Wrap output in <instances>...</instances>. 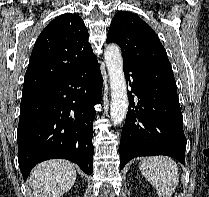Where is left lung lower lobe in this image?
Listing matches in <instances>:
<instances>
[{"mask_svg": "<svg viewBox=\"0 0 209 197\" xmlns=\"http://www.w3.org/2000/svg\"><path fill=\"white\" fill-rule=\"evenodd\" d=\"M124 73L133 82L121 133L120 169L138 156L167 155L185 164L187 140L175 79L153 77L127 64ZM132 93L138 98L136 104Z\"/></svg>", "mask_w": 209, "mask_h": 197, "instance_id": "1", "label": "left lung lower lobe"}]
</instances>
